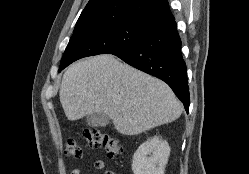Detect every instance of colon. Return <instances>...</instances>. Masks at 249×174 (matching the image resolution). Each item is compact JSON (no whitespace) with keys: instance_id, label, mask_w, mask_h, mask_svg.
<instances>
[{"instance_id":"colon-1","label":"colon","mask_w":249,"mask_h":174,"mask_svg":"<svg viewBox=\"0 0 249 174\" xmlns=\"http://www.w3.org/2000/svg\"><path fill=\"white\" fill-rule=\"evenodd\" d=\"M81 138L88 148H103L110 157L119 155L123 150L119 138L96 127L84 130L81 134ZM65 154L75 158L81 157L82 148L74 138L67 139Z\"/></svg>"}]
</instances>
